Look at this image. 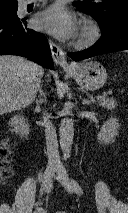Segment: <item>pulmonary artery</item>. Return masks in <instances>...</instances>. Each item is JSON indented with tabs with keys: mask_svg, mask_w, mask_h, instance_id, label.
<instances>
[{
	"mask_svg": "<svg viewBox=\"0 0 128 213\" xmlns=\"http://www.w3.org/2000/svg\"><path fill=\"white\" fill-rule=\"evenodd\" d=\"M40 1H43V0H24L23 3H22V6H23V7H26V6H28L29 4L37 3V2H40Z\"/></svg>",
	"mask_w": 128,
	"mask_h": 213,
	"instance_id": "pulmonary-artery-1",
	"label": "pulmonary artery"
}]
</instances>
